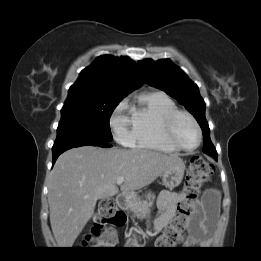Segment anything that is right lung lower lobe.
<instances>
[{
    "label": "right lung lower lobe",
    "instance_id": "98d812e1",
    "mask_svg": "<svg viewBox=\"0 0 261 261\" xmlns=\"http://www.w3.org/2000/svg\"><path fill=\"white\" fill-rule=\"evenodd\" d=\"M100 146L103 148L111 147V145L102 140H96V139H79V140H72V141H65L58 144H54L52 148L53 152V163L54 165L55 161L59 157L60 154L65 152L68 149L74 148V147H81V146Z\"/></svg>",
    "mask_w": 261,
    "mask_h": 261
}]
</instances>
